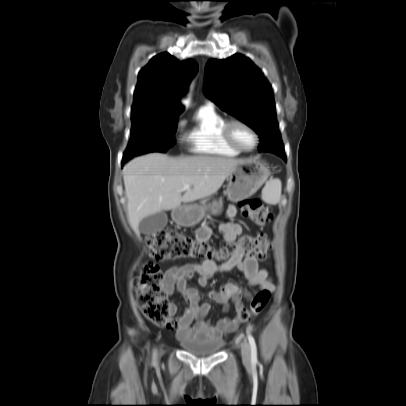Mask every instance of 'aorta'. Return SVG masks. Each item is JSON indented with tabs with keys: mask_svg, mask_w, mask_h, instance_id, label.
<instances>
[{
	"mask_svg": "<svg viewBox=\"0 0 406 406\" xmlns=\"http://www.w3.org/2000/svg\"><path fill=\"white\" fill-rule=\"evenodd\" d=\"M182 103H183L185 106H188V105L190 104V101H189V99H184V100L182 101Z\"/></svg>",
	"mask_w": 406,
	"mask_h": 406,
	"instance_id": "obj_1",
	"label": "aorta"
}]
</instances>
